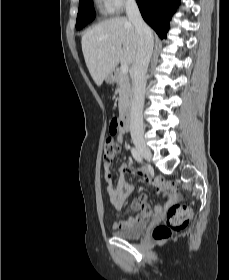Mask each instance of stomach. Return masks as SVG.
Instances as JSON below:
<instances>
[{"mask_svg":"<svg viewBox=\"0 0 229 280\" xmlns=\"http://www.w3.org/2000/svg\"><path fill=\"white\" fill-rule=\"evenodd\" d=\"M115 80H116V77H115V75H113V73H109L105 77V81L107 84H113L115 82Z\"/></svg>","mask_w":229,"mask_h":280,"instance_id":"1","label":"stomach"}]
</instances>
